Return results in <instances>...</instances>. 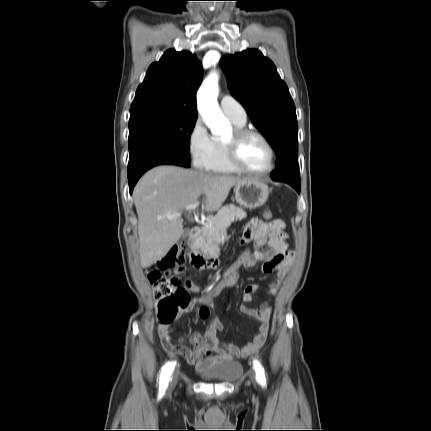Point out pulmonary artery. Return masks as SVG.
Masks as SVG:
<instances>
[{
	"label": "pulmonary artery",
	"instance_id": "1",
	"mask_svg": "<svg viewBox=\"0 0 431 431\" xmlns=\"http://www.w3.org/2000/svg\"><path fill=\"white\" fill-rule=\"evenodd\" d=\"M220 107L223 113L230 119H233L239 123L246 122V111L234 97L230 95H224L220 100Z\"/></svg>",
	"mask_w": 431,
	"mask_h": 431
}]
</instances>
